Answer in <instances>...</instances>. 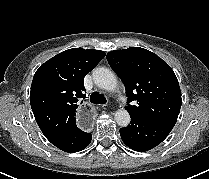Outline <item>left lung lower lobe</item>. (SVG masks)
<instances>
[{"mask_svg":"<svg viewBox=\"0 0 209 179\" xmlns=\"http://www.w3.org/2000/svg\"><path fill=\"white\" fill-rule=\"evenodd\" d=\"M131 122L120 129L122 141L135 151H148L160 144L173 126L152 121L139 115L130 114Z\"/></svg>","mask_w":209,"mask_h":179,"instance_id":"obj_1","label":"left lung lower lobe"}]
</instances>
